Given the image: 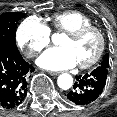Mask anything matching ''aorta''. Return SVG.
<instances>
[{"mask_svg": "<svg viewBox=\"0 0 117 117\" xmlns=\"http://www.w3.org/2000/svg\"><path fill=\"white\" fill-rule=\"evenodd\" d=\"M57 84L61 89L68 90L73 85V78L70 74L63 73V74L59 75V77L57 79Z\"/></svg>", "mask_w": 117, "mask_h": 117, "instance_id": "762f6f07", "label": "aorta"}]
</instances>
